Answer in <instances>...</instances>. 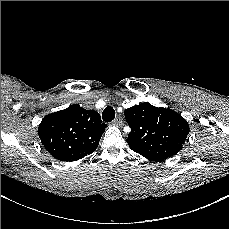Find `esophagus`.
Returning <instances> with one entry per match:
<instances>
[{
	"instance_id": "obj_1",
	"label": "esophagus",
	"mask_w": 229,
	"mask_h": 229,
	"mask_svg": "<svg viewBox=\"0 0 229 229\" xmlns=\"http://www.w3.org/2000/svg\"><path fill=\"white\" fill-rule=\"evenodd\" d=\"M113 124L117 125V126H121L123 125V118L121 116H117L114 121Z\"/></svg>"
}]
</instances>
